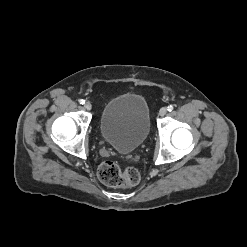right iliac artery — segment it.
Listing matches in <instances>:
<instances>
[{
  "instance_id": "82829eb1",
  "label": "right iliac artery",
  "mask_w": 247,
  "mask_h": 247,
  "mask_svg": "<svg viewBox=\"0 0 247 247\" xmlns=\"http://www.w3.org/2000/svg\"><path fill=\"white\" fill-rule=\"evenodd\" d=\"M79 103H80V104H84L85 101H84L83 99H80V100H79Z\"/></svg>"
}]
</instances>
